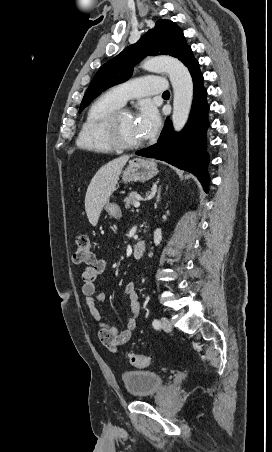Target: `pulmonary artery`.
Returning <instances> with one entry per match:
<instances>
[{
	"mask_svg": "<svg viewBox=\"0 0 272 452\" xmlns=\"http://www.w3.org/2000/svg\"><path fill=\"white\" fill-rule=\"evenodd\" d=\"M166 89L167 83L164 78L148 76L114 86L109 93L124 105L129 99L160 94Z\"/></svg>",
	"mask_w": 272,
	"mask_h": 452,
	"instance_id": "1",
	"label": "pulmonary artery"
}]
</instances>
